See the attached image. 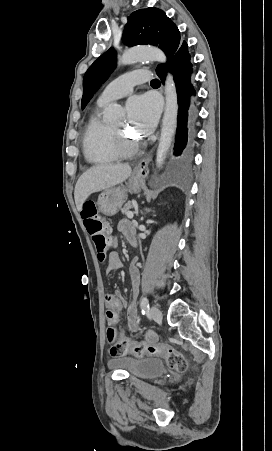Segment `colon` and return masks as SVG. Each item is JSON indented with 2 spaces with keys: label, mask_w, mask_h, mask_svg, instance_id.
Instances as JSON below:
<instances>
[{
  "label": "colon",
  "mask_w": 272,
  "mask_h": 451,
  "mask_svg": "<svg viewBox=\"0 0 272 451\" xmlns=\"http://www.w3.org/2000/svg\"><path fill=\"white\" fill-rule=\"evenodd\" d=\"M86 229L90 233L95 245L96 255L99 262H104L109 252V232L103 230V223L98 213L97 206L88 203L83 206L81 211ZM106 339L109 345V354L111 357H119L131 351L136 358L140 354H164L168 364L173 369L184 372L186 370V361L180 352L174 351L172 345H154L153 342H131L130 339H117V332L114 326L107 325Z\"/></svg>",
  "instance_id": "1"
}]
</instances>
